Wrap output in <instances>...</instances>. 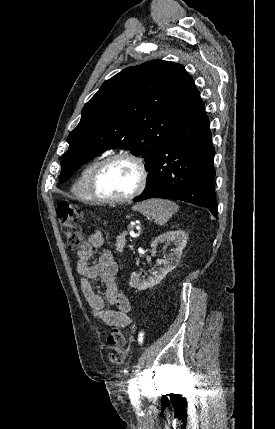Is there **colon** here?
<instances>
[{
	"label": "colon",
	"instance_id": "5ec220e1",
	"mask_svg": "<svg viewBox=\"0 0 275 429\" xmlns=\"http://www.w3.org/2000/svg\"><path fill=\"white\" fill-rule=\"evenodd\" d=\"M57 216L68 248L70 250L79 249L83 241L80 226L82 216L80 212L67 202H61L57 206ZM107 343L113 348L123 349L127 344V335L121 328L115 326L108 334ZM108 360L112 364L119 365L122 363L123 358L118 354L109 353Z\"/></svg>",
	"mask_w": 275,
	"mask_h": 429
}]
</instances>
